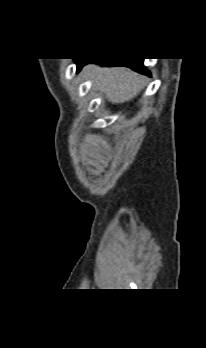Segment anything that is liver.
I'll use <instances>...</instances> for the list:
<instances>
[{"label": "liver", "instance_id": "obj_1", "mask_svg": "<svg viewBox=\"0 0 206 348\" xmlns=\"http://www.w3.org/2000/svg\"><path fill=\"white\" fill-rule=\"evenodd\" d=\"M85 73L111 103H124L136 97L144 88V77L127 68H100L89 65Z\"/></svg>", "mask_w": 206, "mask_h": 348}]
</instances>
